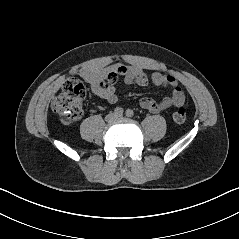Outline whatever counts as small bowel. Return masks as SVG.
Returning a JSON list of instances; mask_svg holds the SVG:
<instances>
[{
	"label": "small bowel",
	"mask_w": 239,
	"mask_h": 239,
	"mask_svg": "<svg viewBox=\"0 0 239 239\" xmlns=\"http://www.w3.org/2000/svg\"><path fill=\"white\" fill-rule=\"evenodd\" d=\"M81 75L90 84L92 93L109 103L118 101L116 84L120 78H123L127 85L146 86L151 82L155 86H165L171 89V94L160 102L147 97L139 100L140 107L151 113L157 114L170 107L183 105L185 102V94L173 76L160 72L148 74L139 66L116 63L102 69L84 70ZM103 80L106 82L104 83Z\"/></svg>",
	"instance_id": "c3829d8e"
}]
</instances>
